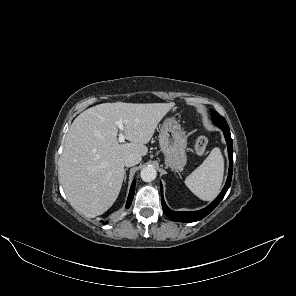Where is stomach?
<instances>
[{"label":"stomach","mask_w":296,"mask_h":296,"mask_svg":"<svg viewBox=\"0 0 296 296\" xmlns=\"http://www.w3.org/2000/svg\"><path fill=\"white\" fill-rule=\"evenodd\" d=\"M159 144L166 166L173 171L182 170L187 162V137L174 118L163 122Z\"/></svg>","instance_id":"0dacf381"}]
</instances>
